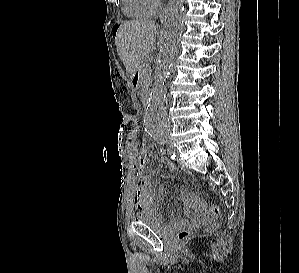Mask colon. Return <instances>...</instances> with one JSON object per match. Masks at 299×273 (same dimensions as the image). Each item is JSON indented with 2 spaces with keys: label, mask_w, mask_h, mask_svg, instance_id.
<instances>
[{
  "label": "colon",
  "mask_w": 299,
  "mask_h": 273,
  "mask_svg": "<svg viewBox=\"0 0 299 273\" xmlns=\"http://www.w3.org/2000/svg\"><path fill=\"white\" fill-rule=\"evenodd\" d=\"M142 149H147L148 150V142L146 137H142L140 139ZM219 215V208L215 205H210L206 209V220L208 222L214 221ZM189 231L187 230H181L178 233V238L180 240H184L188 237Z\"/></svg>",
  "instance_id": "1"
}]
</instances>
